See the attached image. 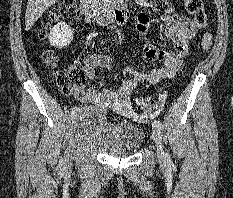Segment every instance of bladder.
<instances>
[{"mask_svg":"<svg viewBox=\"0 0 233 198\" xmlns=\"http://www.w3.org/2000/svg\"><path fill=\"white\" fill-rule=\"evenodd\" d=\"M74 129L78 142L116 157L136 152L144 142L141 127L130 123L112 124L99 108H81L74 118Z\"/></svg>","mask_w":233,"mask_h":198,"instance_id":"1","label":"bladder"}]
</instances>
